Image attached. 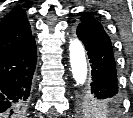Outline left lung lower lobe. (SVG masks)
Returning <instances> with one entry per match:
<instances>
[{"label":"left lung lower lobe","mask_w":133,"mask_h":118,"mask_svg":"<svg viewBox=\"0 0 133 118\" xmlns=\"http://www.w3.org/2000/svg\"><path fill=\"white\" fill-rule=\"evenodd\" d=\"M77 36L83 42L91 63V83L86 87L95 100L120 101L116 63L109 36L101 31L78 25Z\"/></svg>","instance_id":"left-lung-lower-lobe-1"}]
</instances>
